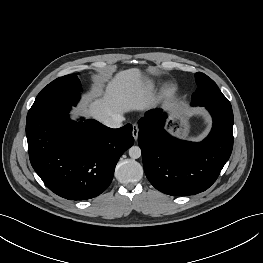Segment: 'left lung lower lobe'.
Masks as SVG:
<instances>
[{"label":"left lung lower lobe","mask_w":263,"mask_h":263,"mask_svg":"<svg viewBox=\"0 0 263 263\" xmlns=\"http://www.w3.org/2000/svg\"><path fill=\"white\" fill-rule=\"evenodd\" d=\"M205 106L213 118L210 134L202 142L172 137L165 129L167 118L152 109L138 122V143L145 174L159 191L172 196L193 195L208 189L219 176L233 148L231 106Z\"/></svg>","instance_id":"left-lung-lower-lobe-1"}]
</instances>
